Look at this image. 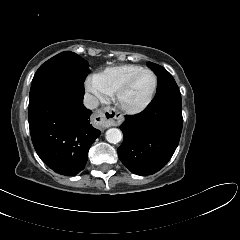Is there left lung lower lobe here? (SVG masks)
Returning <instances> with one entry per match:
<instances>
[{"label": "left lung lower lobe", "instance_id": "obj_1", "mask_svg": "<svg viewBox=\"0 0 240 240\" xmlns=\"http://www.w3.org/2000/svg\"><path fill=\"white\" fill-rule=\"evenodd\" d=\"M183 125L181 99L152 101L139 114L126 116L121 125L123 143L118 148L121 162L132 173L151 175L174 154Z\"/></svg>", "mask_w": 240, "mask_h": 240}]
</instances>
